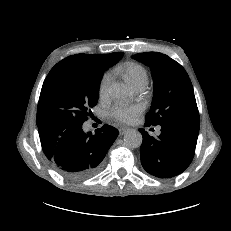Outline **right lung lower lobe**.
I'll return each instance as SVG.
<instances>
[{"label": "right lung lower lobe", "mask_w": 231, "mask_h": 231, "mask_svg": "<svg viewBox=\"0 0 231 231\" xmlns=\"http://www.w3.org/2000/svg\"><path fill=\"white\" fill-rule=\"evenodd\" d=\"M82 125L52 123L38 127L44 154L62 176L72 180L94 175L119 133L109 125L95 134L85 133Z\"/></svg>", "instance_id": "98d812e1"}]
</instances>
